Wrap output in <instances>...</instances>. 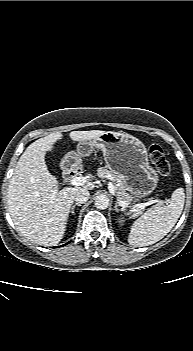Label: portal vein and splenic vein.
Returning a JSON list of instances; mask_svg holds the SVG:
<instances>
[{"mask_svg":"<svg viewBox=\"0 0 193 351\" xmlns=\"http://www.w3.org/2000/svg\"><path fill=\"white\" fill-rule=\"evenodd\" d=\"M86 183V178L85 177H74L72 178L70 181H69V184L72 185V186H83L84 184ZM108 189L110 191V193L112 195H115V187L114 185L110 182L108 184ZM155 203H163L164 201L163 200H154ZM153 202H149V203H141V204H135L133 206V208H141V209H144L145 206L147 205H150L152 204ZM119 204L123 207H128L129 204L125 203V202H122V201H119Z\"/></svg>","mask_w":193,"mask_h":351,"instance_id":"1","label":"portal vein and splenic vein"}]
</instances>
